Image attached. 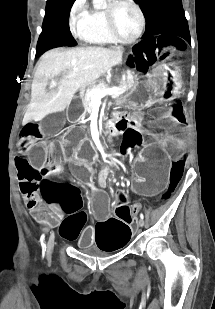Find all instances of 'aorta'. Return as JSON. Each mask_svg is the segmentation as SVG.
Masks as SVG:
<instances>
[{"instance_id":"aorta-1","label":"aorta","mask_w":215,"mask_h":309,"mask_svg":"<svg viewBox=\"0 0 215 309\" xmlns=\"http://www.w3.org/2000/svg\"><path fill=\"white\" fill-rule=\"evenodd\" d=\"M93 4H100V6H103L105 4V0H92Z\"/></svg>"}]
</instances>
